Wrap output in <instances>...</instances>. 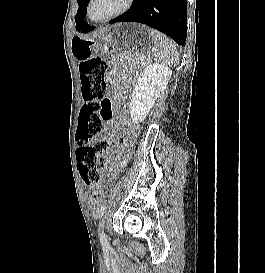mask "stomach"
Wrapping results in <instances>:
<instances>
[{
  "label": "stomach",
  "mask_w": 265,
  "mask_h": 273,
  "mask_svg": "<svg viewBox=\"0 0 265 273\" xmlns=\"http://www.w3.org/2000/svg\"><path fill=\"white\" fill-rule=\"evenodd\" d=\"M102 40L109 41V45H118L119 49H149L151 35L154 30H148V25H106V30H99ZM98 44L93 40L74 37L71 49L74 56L81 60L92 55ZM130 56H147V51H130Z\"/></svg>",
  "instance_id": "1"
}]
</instances>
